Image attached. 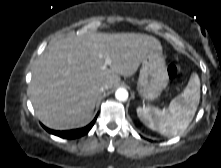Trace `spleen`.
<instances>
[{
    "mask_svg": "<svg viewBox=\"0 0 221 168\" xmlns=\"http://www.w3.org/2000/svg\"><path fill=\"white\" fill-rule=\"evenodd\" d=\"M200 101V79L193 73L184 91L176 96L168 108L138 107L139 119L151 130L172 137L183 132L192 121Z\"/></svg>",
    "mask_w": 221,
    "mask_h": 168,
    "instance_id": "obj_1",
    "label": "spleen"
}]
</instances>
